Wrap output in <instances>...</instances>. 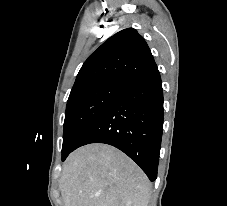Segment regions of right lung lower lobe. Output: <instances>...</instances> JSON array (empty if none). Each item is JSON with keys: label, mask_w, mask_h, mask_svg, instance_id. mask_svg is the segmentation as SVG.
I'll return each mask as SVG.
<instances>
[{"label": "right lung lower lobe", "mask_w": 227, "mask_h": 206, "mask_svg": "<svg viewBox=\"0 0 227 206\" xmlns=\"http://www.w3.org/2000/svg\"><path fill=\"white\" fill-rule=\"evenodd\" d=\"M163 128V89L157 66L130 79L124 92L93 121L74 150L112 145L133 159L150 181L157 178Z\"/></svg>", "instance_id": "obj_1"}]
</instances>
